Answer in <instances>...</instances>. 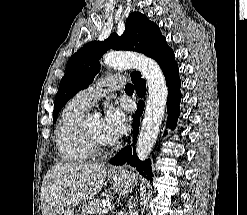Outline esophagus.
I'll list each match as a JSON object with an SVG mask.
<instances>
[{"mask_svg": "<svg viewBox=\"0 0 247 215\" xmlns=\"http://www.w3.org/2000/svg\"><path fill=\"white\" fill-rule=\"evenodd\" d=\"M110 170L113 171V172H115V171H118L119 168H117V167H111Z\"/></svg>", "mask_w": 247, "mask_h": 215, "instance_id": "obj_1", "label": "esophagus"}]
</instances>
